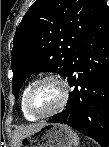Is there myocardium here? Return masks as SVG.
Segmentation results:
<instances>
[{"label": "myocardium", "instance_id": "obj_1", "mask_svg": "<svg viewBox=\"0 0 109 147\" xmlns=\"http://www.w3.org/2000/svg\"><path fill=\"white\" fill-rule=\"evenodd\" d=\"M49 81L55 82L60 86V88L62 90L61 100L53 109H51L45 113H37L30 106V98H31L33 92L37 89V87H39L41 84H43L45 82H49ZM68 99H69V85H68L66 79L58 74H50V75H46V76L40 78L39 80L35 81L31 85V87L29 88V90L26 93V96L24 99V106H25V110L27 111V113L29 115H31L35 118H45V117H49V116H52V115L59 113L66 106Z\"/></svg>", "mask_w": 109, "mask_h": 147}]
</instances>
